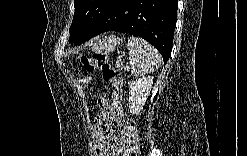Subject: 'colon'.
I'll return each instance as SVG.
<instances>
[{
  "mask_svg": "<svg viewBox=\"0 0 247 156\" xmlns=\"http://www.w3.org/2000/svg\"><path fill=\"white\" fill-rule=\"evenodd\" d=\"M81 64L87 72L101 71L103 79L110 83L113 90H118L122 87L121 75L106 55L98 53L91 56H83L81 58ZM127 129L132 141L126 155L135 156L140 145L139 132L135 122L132 120H128Z\"/></svg>",
  "mask_w": 247,
  "mask_h": 156,
  "instance_id": "obj_1",
  "label": "colon"
}]
</instances>
